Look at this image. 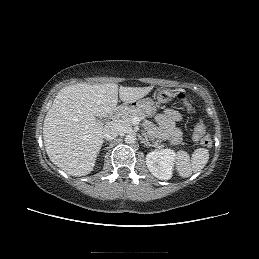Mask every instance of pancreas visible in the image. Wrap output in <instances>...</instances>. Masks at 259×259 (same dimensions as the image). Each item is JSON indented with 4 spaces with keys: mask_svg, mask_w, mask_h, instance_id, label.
Listing matches in <instances>:
<instances>
[{
    "mask_svg": "<svg viewBox=\"0 0 259 259\" xmlns=\"http://www.w3.org/2000/svg\"><path fill=\"white\" fill-rule=\"evenodd\" d=\"M134 117L143 120L145 119L146 115L138 109H132L127 107L120 109L117 114L118 122L123 127H131Z\"/></svg>",
    "mask_w": 259,
    "mask_h": 259,
    "instance_id": "cf45deb5",
    "label": "pancreas"
}]
</instances>
